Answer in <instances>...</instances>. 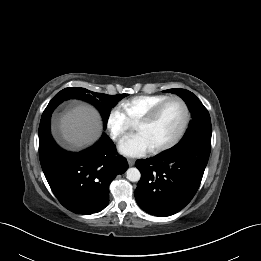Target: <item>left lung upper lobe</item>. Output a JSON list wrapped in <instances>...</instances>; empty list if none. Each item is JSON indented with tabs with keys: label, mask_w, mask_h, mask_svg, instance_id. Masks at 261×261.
Masks as SVG:
<instances>
[{
	"label": "left lung upper lobe",
	"mask_w": 261,
	"mask_h": 261,
	"mask_svg": "<svg viewBox=\"0 0 261 261\" xmlns=\"http://www.w3.org/2000/svg\"><path fill=\"white\" fill-rule=\"evenodd\" d=\"M164 92L175 93L180 96L185 101L191 112L192 120L190 121L189 127L187 128L182 140L193 137H205L211 139L212 127L210 115L197 96L188 90L180 88L168 89Z\"/></svg>",
	"instance_id": "left-lung-upper-lobe-1"
}]
</instances>
